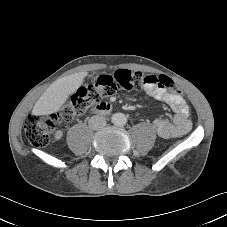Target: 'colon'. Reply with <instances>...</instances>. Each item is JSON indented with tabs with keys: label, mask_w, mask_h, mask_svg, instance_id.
<instances>
[{
	"label": "colon",
	"mask_w": 227,
	"mask_h": 227,
	"mask_svg": "<svg viewBox=\"0 0 227 227\" xmlns=\"http://www.w3.org/2000/svg\"><path fill=\"white\" fill-rule=\"evenodd\" d=\"M149 84H157L172 92L178 91L174 82L166 76L156 77L126 69L117 70L113 74L100 75L93 84L79 88L58 112L44 117L29 115L24 123L25 134L32 145L44 147L50 142L59 123L73 120L120 90H140Z\"/></svg>",
	"instance_id": "obj_1"
}]
</instances>
